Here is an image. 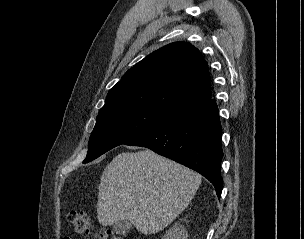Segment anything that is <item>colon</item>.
<instances>
[{
  "mask_svg": "<svg viewBox=\"0 0 304 239\" xmlns=\"http://www.w3.org/2000/svg\"><path fill=\"white\" fill-rule=\"evenodd\" d=\"M68 220L74 230L81 235L88 236L94 234L95 239H122L109 229H101L94 232L91 218L86 211L72 210L68 214Z\"/></svg>",
  "mask_w": 304,
  "mask_h": 239,
  "instance_id": "obj_1",
  "label": "colon"
}]
</instances>
